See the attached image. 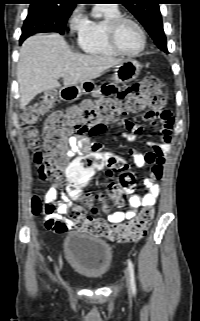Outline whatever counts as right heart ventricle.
I'll use <instances>...</instances> for the list:
<instances>
[{
    "label": "right heart ventricle",
    "mask_w": 200,
    "mask_h": 321,
    "mask_svg": "<svg viewBox=\"0 0 200 321\" xmlns=\"http://www.w3.org/2000/svg\"><path fill=\"white\" fill-rule=\"evenodd\" d=\"M95 10L99 12L101 18L86 19L82 30L78 33L77 43L79 48L90 55L117 57L107 40L108 23L115 17L121 15V11L116 5H97Z\"/></svg>",
    "instance_id": "1"
}]
</instances>
